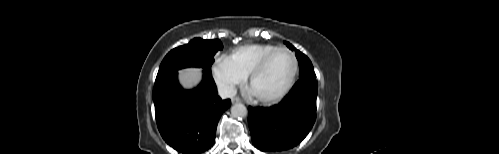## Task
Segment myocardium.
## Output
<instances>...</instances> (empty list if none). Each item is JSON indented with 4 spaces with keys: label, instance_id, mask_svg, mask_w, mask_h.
<instances>
[{
    "label": "myocardium",
    "instance_id": "f54148a6",
    "mask_svg": "<svg viewBox=\"0 0 499 154\" xmlns=\"http://www.w3.org/2000/svg\"><path fill=\"white\" fill-rule=\"evenodd\" d=\"M278 52H285L292 58L293 70H292L291 76H290L287 84L278 94H276L275 96H272V97H257L258 100L264 104H274V103L279 102L281 99H283L289 93L291 88L293 87V84L295 82V79H296V76L298 73L299 64H298V60H297V57L295 56V54L291 50H289L285 47H278L275 50L268 53L267 55H265L260 60V62L251 70V72L248 75L249 86L252 84L253 80L264 71L268 62Z\"/></svg>",
    "mask_w": 499,
    "mask_h": 154
}]
</instances>
